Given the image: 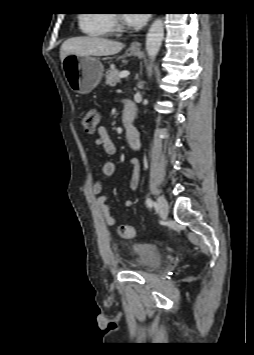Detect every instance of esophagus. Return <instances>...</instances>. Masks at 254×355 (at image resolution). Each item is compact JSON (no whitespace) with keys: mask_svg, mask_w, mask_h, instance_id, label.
Wrapping results in <instances>:
<instances>
[{"mask_svg":"<svg viewBox=\"0 0 254 355\" xmlns=\"http://www.w3.org/2000/svg\"><path fill=\"white\" fill-rule=\"evenodd\" d=\"M130 47L133 50H139L141 48V43L138 41H135V42L131 43Z\"/></svg>","mask_w":254,"mask_h":355,"instance_id":"obj_1","label":"esophagus"}]
</instances>
